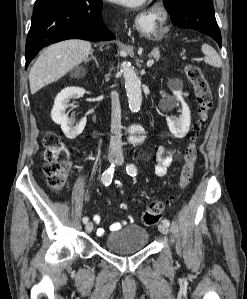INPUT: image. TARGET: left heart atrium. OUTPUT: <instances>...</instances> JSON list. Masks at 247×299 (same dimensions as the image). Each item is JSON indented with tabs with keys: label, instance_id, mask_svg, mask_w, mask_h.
I'll use <instances>...</instances> for the list:
<instances>
[{
	"label": "left heart atrium",
	"instance_id": "39dd6f15",
	"mask_svg": "<svg viewBox=\"0 0 247 299\" xmlns=\"http://www.w3.org/2000/svg\"><path fill=\"white\" fill-rule=\"evenodd\" d=\"M115 3L124 4L127 6H136L142 3L144 0H110Z\"/></svg>",
	"mask_w": 247,
	"mask_h": 299
}]
</instances>
